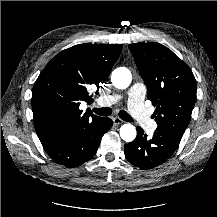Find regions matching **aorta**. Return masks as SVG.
Instances as JSON below:
<instances>
[{
    "mask_svg": "<svg viewBox=\"0 0 217 217\" xmlns=\"http://www.w3.org/2000/svg\"><path fill=\"white\" fill-rule=\"evenodd\" d=\"M111 81L114 87L117 89H126L129 87L132 81V75L129 69L125 67L116 68L111 75ZM136 128L127 123L121 126L120 136L126 142H131L136 138Z\"/></svg>",
    "mask_w": 217,
    "mask_h": 217,
    "instance_id": "aorta-1",
    "label": "aorta"
}]
</instances>
